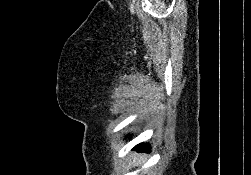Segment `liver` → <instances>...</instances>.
<instances>
[{
    "label": "liver",
    "mask_w": 251,
    "mask_h": 175,
    "mask_svg": "<svg viewBox=\"0 0 251 175\" xmlns=\"http://www.w3.org/2000/svg\"><path fill=\"white\" fill-rule=\"evenodd\" d=\"M138 161H139V163H140L141 159H138Z\"/></svg>",
    "instance_id": "liver-1"
}]
</instances>
